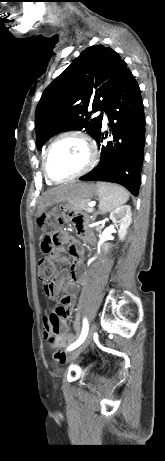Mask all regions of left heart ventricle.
<instances>
[{"mask_svg": "<svg viewBox=\"0 0 165 461\" xmlns=\"http://www.w3.org/2000/svg\"><path fill=\"white\" fill-rule=\"evenodd\" d=\"M87 162L84 144L76 138H65L54 145L47 158V169L54 179L79 171Z\"/></svg>", "mask_w": 165, "mask_h": 461, "instance_id": "b2bd125f", "label": "left heart ventricle"}]
</instances>
